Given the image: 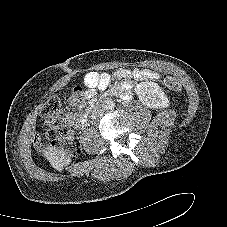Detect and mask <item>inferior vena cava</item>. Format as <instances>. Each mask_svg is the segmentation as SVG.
Segmentation results:
<instances>
[{"mask_svg": "<svg viewBox=\"0 0 227 227\" xmlns=\"http://www.w3.org/2000/svg\"><path fill=\"white\" fill-rule=\"evenodd\" d=\"M103 116V110L100 108H94L90 113V118L92 121H96Z\"/></svg>", "mask_w": 227, "mask_h": 227, "instance_id": "inferior-vena-cava-1", "label": "inferior vena cava"}]
</instances>
